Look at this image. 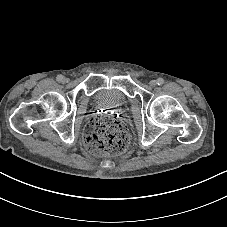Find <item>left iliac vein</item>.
Returning a JSON list of instances; mask_svg holds the SVG:
<instances>
[{"mask_svg":"<svg viewBox=\"0 0 227 227\" xmlns=\"http://www.w3.org/2000/svg\"><path fill=\"white\" fill-rule=\"evenodd\" d=\"M149 85L152 86V87H154V86L157 85V81H156V80H151V81L149 82Z\"/></svg>","mask_w":227,"mask_h":227,"instance_id":"1","label":"left iliac vein"}]
</instances>
